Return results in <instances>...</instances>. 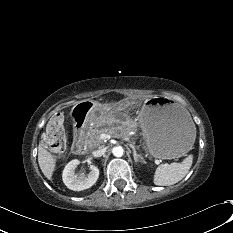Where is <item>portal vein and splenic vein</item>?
<instances>
[{
    "label": "portal vein and splenic vein",
    "mask_w": 233,
    "mask_h": 233,
    "mask_svg": "<svg viewBox=\"0 0 233 233\" xmlns=\"http://www.w3.org/2000/svg\"><path fill=\"white\" fill-rule=\"evenodd\" d=\"M100 138H101L102 140H108V139L111 138V136H110L109 134H107V133H102V134L100 135Z\"/></svg>",
    "instance_id": "obj_1"
}]
</instances>
